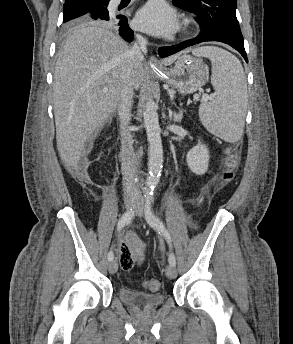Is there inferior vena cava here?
I'll use <instances>...</instances> for the list:
<instances>
[{
  "label": "inferior vena cava",
  "mask_w": 293,
  "mask_h": 344,
  "mask_svg": "<svg viewBox=\"0 0 293 344\" xmlns=\"http://www.w3.org/2000/svg\"><path fill=\"white\" fill-rule=\"evenodd\" d=\"M137 40L130 50V67L127 69L122 80L118 114L121 121V170L123 175L124 195L126 197L139 198L141 191L139 185L135 183V161L133 157V147L131 135L126 129L131 118V107L133 104V89L135 77L141 67L144 54L147 52V39L141 35L136 36Z\"/></svg>",
  "instance_id": "obj_1"
}]
</instances>
